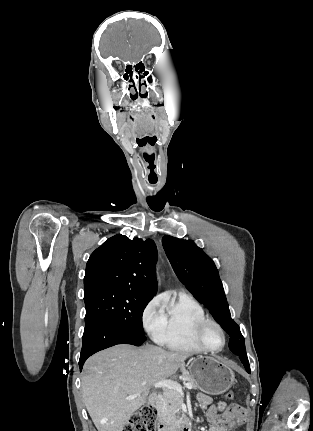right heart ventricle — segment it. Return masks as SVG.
<instances>
[{
	"label": "right heart ventricle",
	"mask_w": 313,
	"mask_h": 431,
	"mask_svg": "<svg viewBox=\"0 0 313 431\" xmlns=\"http://www.w3.org/2000/svg\"><path fill=\"white\" fill-rule=\"evenodd\" d=\"M205 317L202 305L190 294L181 292L165 305L164 327L156 341L174 351L201 352L193 333Z\"/></svg>",
	"instance_id": "right-heart-ventricle-1"
}]
</instances>
